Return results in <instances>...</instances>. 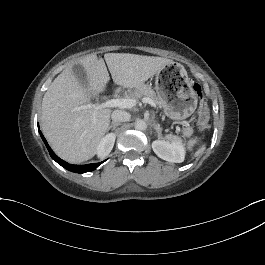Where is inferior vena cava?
<instances>
[{
	"label": "inferior vena cava",
	"mask_w": 265,
	"mask_h": 265,
	"mask_svg": "<svg viewBox=\"0 0 265 265\" xmlns=\"http://www.w3.org/2000/svg\"><path fill=\"white\" fill-rule=\"evenodd\" d=\"M111 118H112L113 122L120 123V122L129 121L131 118V115L126 111L115 110V111H113Z\"/></svg>",
	"instance_id": "1"
}]
</instances>
